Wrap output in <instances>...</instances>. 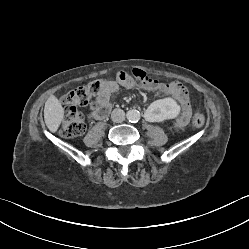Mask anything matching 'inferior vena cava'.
Listing matches in <instances>:
<instances>
[{"instance_id":"inferior-vena-cava-1","label":"inferior vena cava","mask_w":249,"mask_h":249,"mask_svg":"<svg viewBox=\"0 0 249 249\" xmlns=\"http://www.w3.org/2000/svg\"><path fill=\"white\" fill-rule=\"evenodd\" d=\"M111 119L115 123H121L125 120V112L122 109H114L111 113Z\"/></svg>"}]
</instances>
